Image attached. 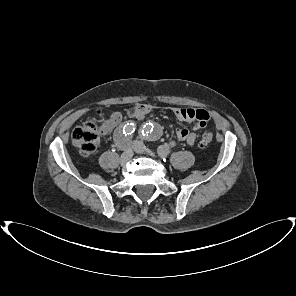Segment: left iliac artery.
<instances>
[{"label": "left iliac artery", "instance_id": "obj_1", "mask_svg": "<svg viewBox=\"0 0 296 296\" xmlns=\"http://www.w3.org/2000/svg\"><path fill=\"white\" fill-rule=\"evenodd\" d=\"M153 129H150V126L146 123V125L143 126L142 130H140V137L144 139H148L151 137V131Z\"/></svg>", "mask_w": 296, "mask_h": 296}]
</instances>
